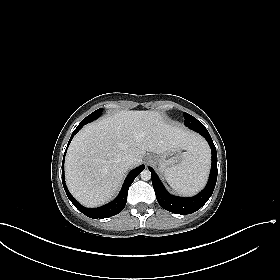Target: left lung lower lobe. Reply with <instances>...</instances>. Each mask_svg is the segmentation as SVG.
I'll use <instances>...</instances> for the list:
<instances>
[{
	"label": "left lung lower lobe",
	"instance_id": "1",
	"mask_svg": "<svg viewBox=\"0 0 280 280\" xmlns=\"http://www.w3.org/2000/svg\"><path fill=\"white\" fill-rule=\"evenodd\" d=\"M191 129L205 137L212 150V166L209 180L206 187L198 195L188 198L170 195L159 180L155 171L149 167V170L152 174V184L158 203L162 208L182 215L196 212L208 201L214 191L218 173L216 148L207 129L203 124L200 126H193Z\"/></svg>",
	"mask_w": 280,
	"mask_h": 280
}]
</instances>
